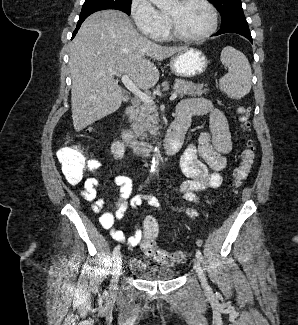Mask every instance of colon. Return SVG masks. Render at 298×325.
<instances>
[{
	"label": "colon",
	"instance_id": "obj_1",
	"mask_svg": "<svg viewBox=\"0 0 298 325\" xmlns=\"http://www.w3.org/2000/svg\"><path fill=\"white\" fill-rule=\"evenodd\" d=\"M239 120L244 129L249 127L247 109L239 108ZM58 159L61 164L63 174L71 184L80 183L86 174L95 173L101 166L98 159L90 157L80 150L65 146L58 152ZM255 162V151L251 141L245 144L241 154V161L233 173L232 185L240 186L249 176ZM159 233V225L154 217L148 216L143 222V233L140 240L142 252L151 260L162 265H176L185 260L182 253L169 252L156 245V238Z\"/></svg>",
	"mask_w": 298,
	"mask_h": 325
}]
</instances>
